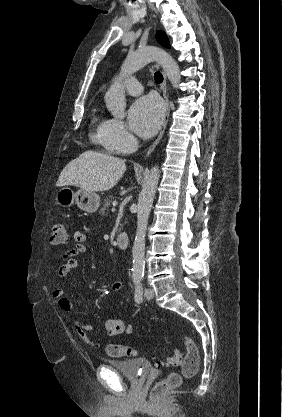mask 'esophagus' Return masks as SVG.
<instances>
[{
    "mask_svg": "<svg viewBox=\"0 0 282 417\" xmlns=\"http://www.w3.org/2000/svg\"><path fill=\"white\" fill-rule=\"evenodd\" d=\"M160 88L162 89L163 97H164V100H165V112H164V115H163V122H162V125H161V128H160L159 135L157 136L155 142L150 146V148H149V150L146 154L147 156H149L153 152V150L155 149L156 145H158L159 141L161 140V138H162V136L165 132V128H166L167 122L169 120L170 106H169V99H168V96H167L166 75H165L164 71H163V82L161 83Z\"/></svg>",
    "mask_w": 282,
    "mask_h": 417,
    "instance_id": "34e87169",
    "label": "esophagus"
}]
</instances>
